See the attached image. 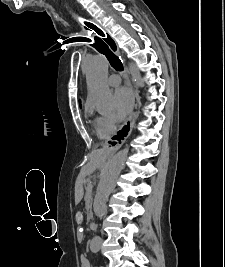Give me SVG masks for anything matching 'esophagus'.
<instances>
[{
  "label": "esophagus",
  "mask_w": 225,
  "mask_h": 267,
  "mask_svg": "<svg viewBox=\"0 0 225 267\" xmlns=\"http://www.w3.org/2000/svg\"><path fill=\"white\" fill-rule=\"evenodd\" d=\"M96 25L98 26V28H100L103 31V33L105 35L104 36L105 39H108V37H109V39L111 40L110 45L108 44L110 49L113 52H115L121 59L120 51H119V47H118L117 42L110 35L107 34L106 30H104L98 24H96ZM122 63H123V67H124L125 83H126L127 86H129V88L131 90V93H132V96H133V109H132L128 119L125 122V126H124V129L122 131L123 138L121 140H119V141H116V142H113L111 140L110 142H106L105 145L103 146V150L108 155H113L122 146L124 141L130 135V133H131L133 127H134L135 120H136L135 110L137 108V104L135 103V99L137 97V93H136V90H135V88L133 87V85H132V83L130 81V78H129V75H128V70H127V67H126L125 63L123 62V60H122Z\"/></svg>",
  "instance_id": "34e87169"
}]
</instances>
